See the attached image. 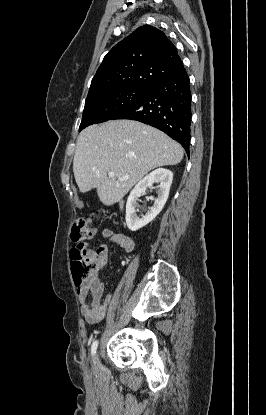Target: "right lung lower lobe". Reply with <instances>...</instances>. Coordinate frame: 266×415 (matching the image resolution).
Here are the masks:
<instances>
[{"label": "right lung lower lobe", "mask_w": 266, "mask_h": 415, "mask_svg": "<svg viewBox=\"0 0 266 415\" xmlns=\"http://www.w3.org/2000/svg\"><path fill=\"white\" fill-rule=\"evenodd\" d=\"M112 119H131L158 128L179 142L189 156L191 91L186 70L156 83L143 99Z\"/></svg>", "instance_id": "98d812e1"}]
</instances>
